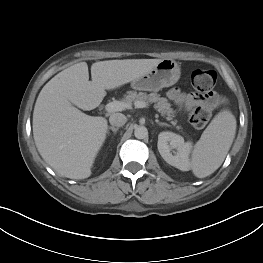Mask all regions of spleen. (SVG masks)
I'll return each mask as SVG.
<instances>
[{"instance_id":"1","label":"spleen","mask_w":263,"mask_h":263,"mask_svg":"<svg viewBox=\"0 0 263 263\" xmlns=\"http://www.w3.org/2000/svg\"><path fill=\"white\" fill-rule=\"evenodd\" d=\"M236 132V119L229 110L218 113L195 144L190 167L194 175L204 178L223 163Z\"/></svg>"}]
</instances>
